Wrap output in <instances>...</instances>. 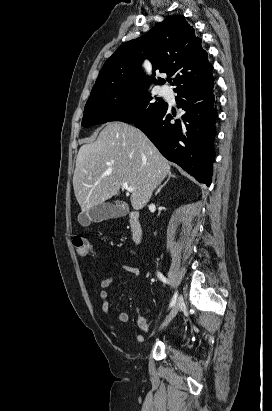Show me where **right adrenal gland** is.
Masks as SVG:
<instances>
[{
	"label": "right adrenal gland",
	"instance_id": "1",
	"mask_svg": "<svg viewBox=\"0 0 272 411\" xmlns=\"http://www.w3.org/2000/svg\"><path fill=\"white\" fill-rule=\"evenodd\" d=\"M171 178H176V176H175L174 174H172L171 172H169V173H168L167 180H166L162 185L159 186V188H158L157 191L155 192V195H157V194L161 191V189H162L164 186H166V184L169 182V180H170Z\"/></svg>",
	"mask_w": 272,
	"mask_h": 411
}]
</instances>
